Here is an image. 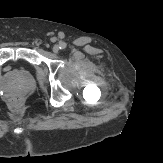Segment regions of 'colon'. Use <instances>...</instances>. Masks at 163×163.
I'll return each mask as SVG.
<instances>
[{"label":"colon","mask_w":163,"mask_h":163,"mask_svg":"<svg viewBox=\"0 0 163 163\" xmlns=\"http://www.w3.org/2000/svg\"><path fill=\"white\" fill-rule=\"evenodd\" d=\"M11 102L13 106H16L19 104L20 100L18 98H13Z\"/></svg>","instance_id":"1"}]
</instances>
